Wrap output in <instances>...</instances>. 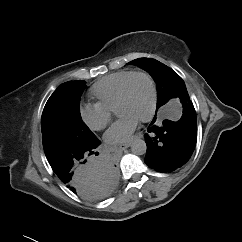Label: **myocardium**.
Wrapping results in <instances>:
<instances>
[{
    "instance_id": "obj_1",
    "label": "myocardium",
    "mask_w": 242,
    "mask_h": 242,
    "mask_svg": "<svg viewBox=\"0 0 242 242\" xmlns=\"http://www.w3.org/2000/svg\"><path fill=\"white\" fill-rule=\"evenodd\" d=\"M137 76H143V77L147 78V80L149 81V84H150V88H151L150 108H149L147 114L145 116H143L141 119H139L141 122H148L153 118L155 111H156L158 91H157V85H156V82H155L153 76L146 71H134L132 74H130L127 77V79L124 81V83L120 89L115 111L126 100L130 82L134 77H137Z\"/></svg>"
}]
</instances>
